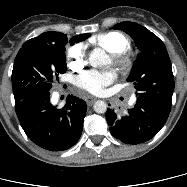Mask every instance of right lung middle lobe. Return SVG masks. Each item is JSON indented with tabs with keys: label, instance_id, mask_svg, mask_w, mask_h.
Segmentation results:
<instances>
[{
	"label": "right lung middle lobe",
	"instance_id": "right-lung-middle-lobe-1",
	"mask_svg": "<svg viewBox=\"0 0 187 187\" xmlns=\"http://www.w3.org/2000/svg\"><path fill=\"white\" fill-rule=\"evenodd\" d=\"M62 37L59 41L33 38L22 45L12 71L15 102L49 92L52 83L66 72L65 47L78 41Z\"/></svg>",
	"mask_w": 187,
	"mask_h": 187
}]
</instances>
